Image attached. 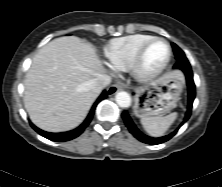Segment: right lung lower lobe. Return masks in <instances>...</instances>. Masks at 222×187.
I'll return each instance as SVG.
<instances>
[{
	"mask_svg": "<svg viewBox=\"0 0 222 187\" xmlns=\"http://www.w3.org/2000/svg\"><path fill=\"white\" fill-rule=\"evenodd\" d=\"M107 97V93L104 90L102 92V94L98 97V99L96 100V102L93 104L90 113L88 114L87 118L85 119V121L76 129L69 131V132H63V133H49V132H45L39 128H37L34 124H31L32 128L38 132L40 135H42L43 137L52 140V141H57V142H63V141H68L71 139L76 138L77 136H79L84 129L88 126V124L90 123L91 119L93 118L94 112H95V108L97 106V104L105 99Z\"/></svg>",
	"mask_w": 222,
	"mask_h": 187,
	"instance_id": "right-lung-lower-lobe-1",
	"label": "right lung lower lobe"
}]
</instances>
